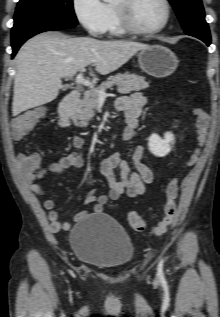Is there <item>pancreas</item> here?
I'll use <instances>...</instances> for the list:
<instances>
[{"label":"pancreas","mask_w":220,"mask_h":317,"mask_svg":"<svg viewBox=\"0 0 220 317\" xmlns=\"http://www.w3.org/2000/svg\"><path fill=\"white\" fill-rule=\"evenodd\" d=\"M113 85L117 86V90L121 94L143 90L149 86L144 77L135 74L118 73L115 76H110L97 89H92L84 93V97L79 103V110L74 117L75 125L81 127H86L88 125V122L95 115V109L98 102V91L106 90Z\"/></svg>","instance_id":"1"}]
</instances>
